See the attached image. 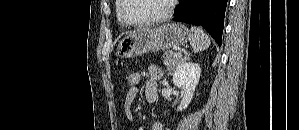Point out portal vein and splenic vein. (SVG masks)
Segmentation results:
<instances>
[{
	"instance_id": "18ae733b",
	"label": "portal vein and splenic vein",
	"mask_w": 299,
	"mask_h": 130,
	"mask_svg": "<svg viewBox=\"0 0 299 130\" xmlns=\"http://www.w3.org/2000/svg\"><path fill=\"white\" fill-rule=\"evenodd\" d=\"M175 56H177V57H181L182 54H181L180 52H177V53H175Z\"/></svg>"
}]
</instances>
